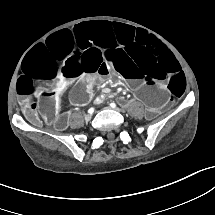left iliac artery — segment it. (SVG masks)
I'll list each match as a JSON object with an SVG mask.
<instances>
[{
    "label": "left iliac artery",
    "mask_w": 215,
    "mask_h": 215,
    "mask_svg": "<svg viewBox=\"0 0 215 215\" xmlns=\"http://www.w3.org/2000/svg\"><path fill=\"white\" fill-rule=\"evenodd\" d=\"M110 106L113 107V108H115L116 104L113 102V103L110 104Z\"/></svg>",
    "instance_id": "1"
}]
</instances>
